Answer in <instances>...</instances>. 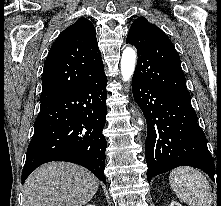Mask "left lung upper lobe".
Instances as JSON below:
<instances>
[{
  "mask_svg": "<svg viewBox=\"0 0 221 206\" xmlns=\"http://www.w3.org/2000/svg\"><path fill=\"white\" fill-rule=\"evenodd\" d=\"M126 43L133 44L138 52L134 80L173 96L190 98L179 54L156 25L146 18H137L130 27Z\"/></svg>",
  "mask_w": 221,
  "mask_h": 206,
  "instance_id": "left-lung-upper-lobe-1",
  "label": "left lung upper lobe"
}]
</instances>
